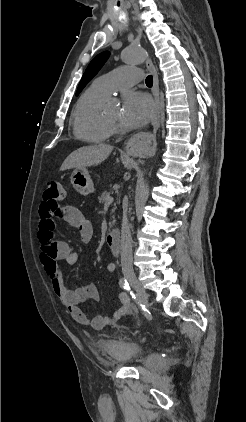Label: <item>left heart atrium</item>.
<instances>
[{
    "mask_svg": "<svg viewBox=\"0 0 246 422\" xmlns=\"http://www.w3.org/2000/svg\"><path fill=\"white\" fill-rule=\"evenodd\" d=\"M154 106L151 99L140 92H128L123 98L119 115L120 124L128 129L145 125L153 116Z\"/></svg>",
    "mask_w": 246,
    "mask_h": 422,
    "instance_id": "obj_1",
    "label": "left heart atrium"
}]
</instances>
